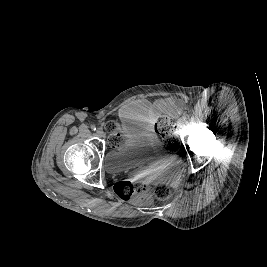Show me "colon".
I'll list each match as a JSON object with an SVG mask.
<instances>
[{
    "label": "colon",
    "mask_w": 267,
    "mask_h": 267,
    "mask_svg": "<svg viewBox=\"0 0 267 267\" xmlns=\"http://www.w3.org/2000/svg\"><path fill=\"white\" fill-rule=\"evenodd\" d=\"M103 128L108 133V141L111 147H119L124 141V135L120 125L115 120H107L103 123ZM175 123L168 117H162L155 125V130L163 135L165 144L168 148H175L178 145L175 135ZM149 190V184L144 181L123 180L116 184V194L123 200H132ZM153 193L158 199H166L170 195V188L163 184L157 183L153 188Z\"/></svg>",
    "instance_id": "5ec220e1"
}]
</instances>
